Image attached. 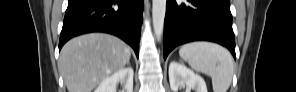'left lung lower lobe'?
<instances>
[{
    "instance_id": "1",
    "label": "left lung lower lobe",
    "mask_w": 296,
    "mask_h": 92,
    "mask_svg": "<svg viewBox=\"0 0 296 92\" xmlns=\"http://www.w3.org/2000/svg\"><path fill=\"white\" fill-rule=\"evenodd\" d=\"M201 40L219 43L236 57L229 0H167L164 58L178 45Z\"/></svg>"
}]
</instances>
